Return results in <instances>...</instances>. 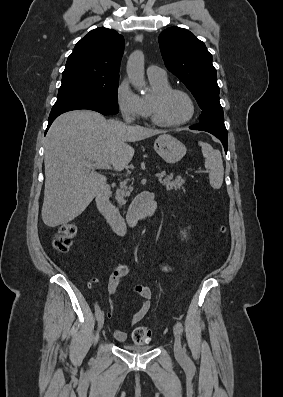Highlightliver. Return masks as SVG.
<instances>
[{"instance_id":"obj_1","label":"liver","mask_w":283,"mask_h":397,"mask_svg":"<svg viewBox=\"0 0 283 397\" xmlns=\"http://www.w3.org/2000/svg\"><path fill=\"white\" fill-rule=\"evenodd\" d=\"M162 131L106 120L90 110L60 115L50 127L45 142V190L42 219L48 227L66 224L79 216L106 184L95 172L99 163L122 171L132 160L140 141Z\"/></svg>"}]
</instances>
